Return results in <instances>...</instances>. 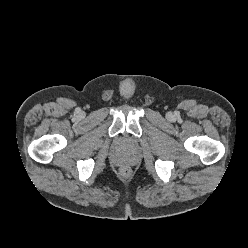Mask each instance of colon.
Wrapping results in <instances>:
<instances>
[{"label": "colon", "mask_w": 248, "mask_h": 248, "mask_svg": "<svg viewBox=\"0 0 248 248\" xmlns=\"http://www.w3.org/2000/svg\"><path fill=\"white\" fill-rule=\"evenodd\" d=\"M120 173L122 176L126 177L129 175V169L124 167L121 169Z\"/></svg>", "instance_id": "5ec220e1"}]
</instances>
